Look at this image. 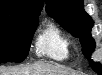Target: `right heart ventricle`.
Listing matches in <instances>:
<instances>
[{"mask_svg": "<svg viewBox=\"0 0 102 75\" xmlns=\"http://www.w3.org/2000/svg\"><path fill=\"white\" fill-rule=\"evenodd\" d=\"M70 41L58 29L48 28L37 40L36 54L56 61L67 59L70 54Z\"/></svg>", "mask_w": 102, "mask_h": 75, "instance_id": "1", "label": "right heart ventricle"}]
</instances>
